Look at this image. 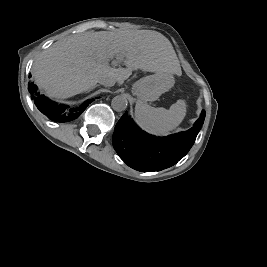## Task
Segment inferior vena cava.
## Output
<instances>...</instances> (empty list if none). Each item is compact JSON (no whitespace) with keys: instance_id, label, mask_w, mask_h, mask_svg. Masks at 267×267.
I'll return each instance as SVG.
<instances>
[{"instance_id":"602c4592","label":"inferior vena cava","mask_w":267,"mask_h":267,"mask_svg":"<svg viewBox=\"0 0 267 267\" xmlns=\"http://www.w3.org/2000/svg\"><path fill=\"white\" fill-rule=\"evenodd\" d=\"M115 82H116L115 79L108 78V77H102L98 80V83H100L106 87L114 86Z\"/></svg>"}]
</instances>
